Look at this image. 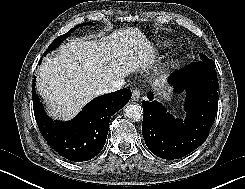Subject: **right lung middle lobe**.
<instances>
[{
  "label": "right lung middle lobe",
  "mask_w": 245,
  "mask_h": 189,
  "mask_svg": "<svg viewBox=\"0 0 245 189\" xmlns=\"http://www.w3.org/2000/svg\"><path fill=\"white\" fill-rule=\"evenodd\" d=\"M90 23H85V24H81V25H77V27L72 28L70 31H68L66 34H63L59 37H57L48 47V49L45 51L44 55L47 54L49 51L54 50L55 48H57L59 46V44L68 36L71 35V33L73 31H75L76 28L83 26V25H89Z\"/></svg>",
  "instance_id": "1"
}]
</instances>
